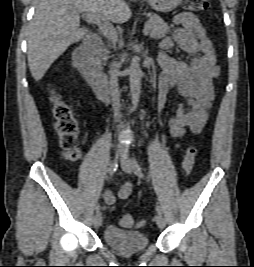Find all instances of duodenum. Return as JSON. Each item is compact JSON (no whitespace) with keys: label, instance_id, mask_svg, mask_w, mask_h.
I'll use <instances>...</instances> for the list:
<instances>
[{"label":"duodenum","instance_id":"410a0bca","mask_svg":"<svg viewBox=\"0 0 254 267\" xmlns=\"http://www.w3.org/2000/svg\"><path fill=\"white\" fill-rule=\"evenodd\" d=\"M101 46L102 41L97 35H89L74 51L73 61L96 95L107 99V76L94 59V55L99 52Z\"/></svg>","mask_w":254,"mask_h":267}]
</instances>
